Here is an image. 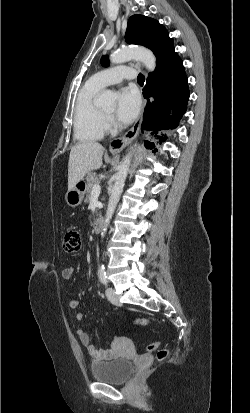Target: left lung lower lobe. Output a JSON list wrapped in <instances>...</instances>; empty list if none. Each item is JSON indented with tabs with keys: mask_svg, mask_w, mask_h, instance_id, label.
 <instances>
[{
	"mask_svg": "<svg viewBox=\"0 0 250 413\" xmlns=\"http://www.w3.org/2000/svg\"><path fill=\"white\" fill-rule=\"evenodd\" d=\"M156 70L149 73L143 95L147 99L144 120L141 129H174L187 109L189 88L182 59L174 51V45L167 43L159 50H154ZM160 143L166 136H159ZM147 148L154 143L145 142Z\"/></svg>",
	"mask_w": 250,
	"mask_h": 413,
	"instance_id": "left-lung-lower-lobe-1",
	"label": "left lung lower lobe"
}]
</instances>
